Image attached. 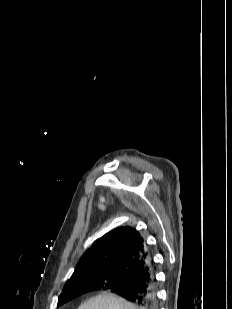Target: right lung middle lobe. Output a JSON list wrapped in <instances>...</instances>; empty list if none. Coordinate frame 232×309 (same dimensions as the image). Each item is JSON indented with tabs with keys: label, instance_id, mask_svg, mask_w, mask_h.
I'll return each instance as SVG.
<instances>
[{
	"label": "right lung middle lobe",
	"instance_id": "dd1d6c3e",
	"mask_svg": "<svg viewBox=\"0 0 232 309\" xmlns=\"http://www.w3.org/2000/svg\"><path fill=\"white\" fill-rule=\"evenodd\" d=\"M128 276L124 274H110L106 271L87 272L67 281L61 295L58 307L72 299L86 293L90 288L102 286L106 280L124 283Z\"/></svg>",
	"mask_w": 232,
	"mask_h": 309
}]
</instances>
